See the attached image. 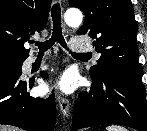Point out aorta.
<instances>
[{"label":"aorta","mask_w":147,"mask_h":131,"mask_svg":"<svg viewBox=\"0 0 147 131\" xmlns=\"http://www.w3.org/2000/svg\"><path fill=\"white\" fill-rule=\"evenodd\" d=\"M83 16L78 9H69L64 14V20L71 27H78L82 22Z\"/></svg>","instance_id":"1"}]
</instances>
